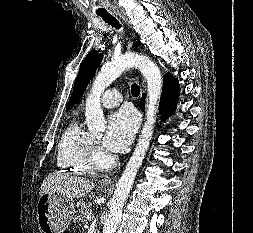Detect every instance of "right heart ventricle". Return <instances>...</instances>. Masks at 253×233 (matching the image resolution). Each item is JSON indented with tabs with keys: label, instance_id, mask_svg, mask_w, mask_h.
I'll list each match as a JSON object with an SVG mask.
<instances>
[{
	"label": "right heart ventricle",
	"instance_id": "obj_1",
	"mask_svg": "<svg viewBox=\"0 0 253 233\" xmlns=\"http://www.w3.org/2000/svg\"><path fill=\"white\" fill-rule=\"evenodd\" d=\"M93 137L78 121H73L61 135L57 145L56 163L61 172L81 175L90 172L87 154Z\"/></svg>",
	"mask_w": 253,
	"mask_h": 233
}]
</instances>
